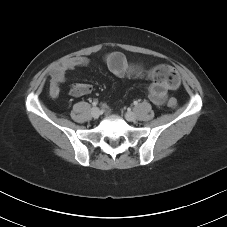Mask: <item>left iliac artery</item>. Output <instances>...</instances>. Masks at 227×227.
I'll use <instances>...</instances> for the list:
<instances>
[{"label": "left iliac artery", "instance_id": "1", "mask_svg": "<svg viewBox=\"0 0 227 227\" xmlns=\"http://www.w3.org/2000/svg\"><path fill=\"white\" fill-rule=\"evenodd\" d=\"M133 104H134V105H137V104H138V102H137V101H134V102H133Z\"/></svg>", "mask_w": 227, "mask_h": 227}]
</instances>
